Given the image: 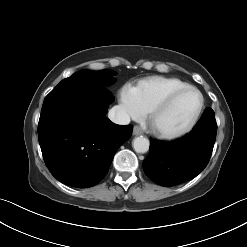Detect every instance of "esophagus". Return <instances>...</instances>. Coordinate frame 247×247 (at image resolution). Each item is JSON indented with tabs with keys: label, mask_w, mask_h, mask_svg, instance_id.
<instances>
[{
	"label": "esophagus",
	"mask_w": 247,
	"mask_h": 247,
	"mask_svg": "<svg viewBox=\"0 0 247 247\" xmlns=\"http://www.w3.org/2000/svg\"><path fill=\"white\" fill-rule=\"evenodd\" d=\"M133 134L136 136L141 135V134H143V131L141 130V128L139 126H134Z\"/></svg>",
	"instance_id": "esophagus-1"
}]
</instances>
